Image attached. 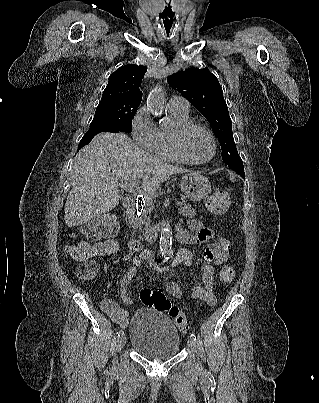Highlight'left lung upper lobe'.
Returning <instances> with one entry per match:
<instances>
[{
  "instance_id": "obj_1",
  "label": "left lung upper lobe",
  "mask_w": 319,
  "mask_h": 403,
  "mask_svg": "<svg viewBox=\"0 0 319 403\" xmlns=\"http://www.w3.org/2000/svg\"><path fill=\"white\" fill-rule=\"evenodd\" d=\"M167 82L209 121L220 142L222 159L228 167L238 174L244 173L222 87L216 76L206 69L190 68L169 76Z\"/></svg>"
}]
</instances>
